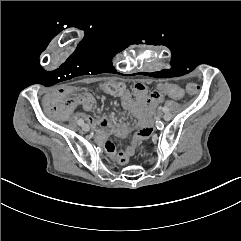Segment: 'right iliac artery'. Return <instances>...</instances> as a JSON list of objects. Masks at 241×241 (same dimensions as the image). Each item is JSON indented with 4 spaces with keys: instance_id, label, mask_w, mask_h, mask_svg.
Wrapping results in <instances>:
<instances>
[{
    "instance_id": "1",
    "label": "right iliac artery",
    "mask_w": 241,
    "mask_h": 241,
    "mask_svg": "<svg viewBox=\"0 0 241 241\" xmlns=\"http://www.w3.org/2000/svg\"><path fill=\"white\" fill-rule=\"evenodd\" d=\"M78 124H79L80 126H82V125L84 124L83 119L79 118V119H78Z\"/></svg>"
}]
</instances>
